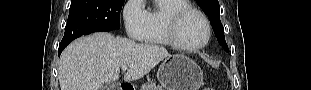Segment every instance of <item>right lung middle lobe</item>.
Returning a JSON list of instances; mask_svg holds the SVG:
<instances>
[{
	"label": "right lung middle lobe",
	"mask_w": 311,
	"mask_h": 90,
	"mask_svg": "<svg viewBox=\"0 0 311 90\" xmlns=\"http://www.w3.org/2000/svg\"><path fill=\"white\" fill-rule=\"evenodd\" d=\"M123 3L124 0H72L61 43L92 32L119 29Z\"/></svg>",
	"instance_id": "dd1d6c3e"
}]
</instances>
